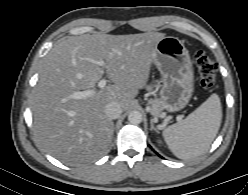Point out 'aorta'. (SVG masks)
<instances>
[{
	"label": "aorta",
	"instance_id": "1",
	"mask_svg": "<svg viewBox=\"0 0 248 195\" xmlns=\"http://www.w3.org/2000/svg\"><path fill=\"white\" fill-rule=\"evenodd\" d=\"M128 120L131 124H140L142 122V114L139 111H131L128 115Z\"/></svg>",
	"mask_w": 248,
	"mask_h": 195
}]
</instances>
